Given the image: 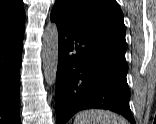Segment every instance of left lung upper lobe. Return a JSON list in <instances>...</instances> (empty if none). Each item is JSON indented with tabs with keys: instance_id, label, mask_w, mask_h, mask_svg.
I'll use <instances>...</instances> for the list:
<instances>
[{
	"instance_id": "5c2ea615",
	"label": "left lung upper lobe",
	"mask_w": 156,
	"mask_h": 124,
	"mask_svg": "<svg viewBox=\"0 0 156 124\" xmlns=\"http://www.w3.org/2000/svg\"><path fill=\"white\" fill-rule=\"evenodd\" d=\"M53 9L72 24L127 47L123 14L115 0H57Z\"/></svg>"
}]
</instances>
